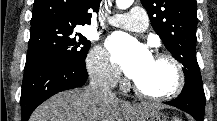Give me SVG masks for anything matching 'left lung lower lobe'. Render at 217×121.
Returning a JSON list of instances; mask_svg holds the SVG:
<instances>
[{
	"mask_svg": "<svg viewBox=\"0 0 217 121\" xmlns=\"http://www.w3.org/2000/svg\"><path fill=\"white\" fill-rule=\"evenodd\" d=\"M189 113L196 121H203L205 111V94L203 86L185 81L181 94L174 100L164 102Z\"/></svg>",
	"mask_w": 217,
	"mask_h": 121,
	"instance_id": "0a47b994",
	"label": "left lung lower lobe"
}]
</instances>
